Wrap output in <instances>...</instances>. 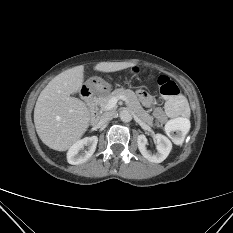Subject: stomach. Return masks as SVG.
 <instances>
[{"label": "stomach", "mask_w": 233, "mask_h": 233, "mask_svg": "<svg viewBox=\"0 0 233 233\" xmlns=\"http://www.w3.org/2000/svg\"><path fill=\"white\" fill-rule=\"evenodd\" d=\"M87 84L93 86L100 92H105L110 89V85L99 77H92L88 80Z\"/></svg>", "instance_id": "1"}]
</instances>
